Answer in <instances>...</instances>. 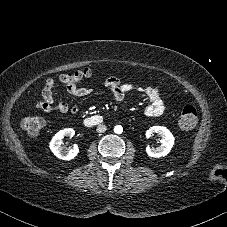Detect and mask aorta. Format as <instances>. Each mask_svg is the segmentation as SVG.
<instances>
[{
  "instance_id": "762f6f07",
  "label": "aorta",
  "mask_w": 227,
  "mask_h": 227,
  "mask_svg": "<svg viewBox=\"0 0 227 227\" xmlns=\"http://www.w3.org/2000/svg\"><path fill=\"white\" fill-rule=\"evenodd\" d=\"M114 132L117 134H121L123 132V127L121 125H116L114 127Z\"/></svg>"
}]
</instances>
